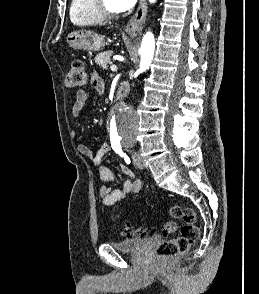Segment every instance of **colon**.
<instances>
[{"instance_id":"colon-1","label":"colon","mask_w":259,"mask_h":294,"mask_svg":"<svg viewBox=\"0 0 259 294\" xmlns=\"http://www.w3.org/2000/svg\"><path fill=\"white\" fill-rule=\"evenodd\" d=\"M87 82L88 73L83 62L78 59L71 61L65 74V86L70 89L80 88L85 86ZM170 215L176 220H182L184 225L181 227L178 237L166 240L158 246L156 254L161 259L174 257L186 252L200 235V230L196 225V213L192 208L175 205L170 208ZM178 228L176 221H168L164 224L163 231L172 233ZM127 234L144 237L152 234V232L144 228L128 227Z\"/></svg>"}]
</instances>
